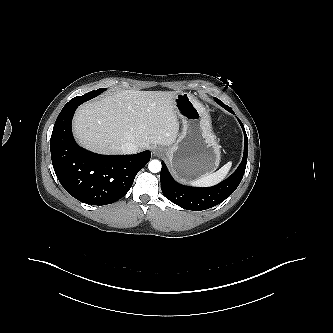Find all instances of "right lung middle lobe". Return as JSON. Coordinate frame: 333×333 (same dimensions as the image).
Returning <instances> with one entry per match:
<instances>
[{
    "instance_id": "1",
    "label": "right lung middle lobe",
    "mask_w": 333,
    "mask_h": 333,
    "mask_svg": "<svg viewBox=\"0 0 333 333\" xmlns=\"http://www.w3.org/2000/svg\"><path fill=\"white\" fill-rule=\"evenodd\" d=\"M105 90H106L105 88H101L96 91L88 92V93L84 94L83 96H77V97L71 99L65 106L80 105L83 102H86V101L98 96Z\"/></svg>"
}]
</instances>
